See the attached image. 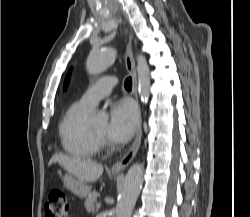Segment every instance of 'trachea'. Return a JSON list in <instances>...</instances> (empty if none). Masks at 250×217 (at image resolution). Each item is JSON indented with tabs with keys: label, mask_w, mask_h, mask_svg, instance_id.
<instances>
[{
	"label": "trachea",
	"mask_w": 250,
	"mask_h": 217,
	"mask_svg": "<svg viewBox=\"0 0 250 217\" xmlns=\"http://www.w3.org/2000/svg\"><path fill=\"white\" fill-rule=\"evenodd\" d=\"M124 87H125L126 89H129V90L132 89V78H131V77H129V78H127V79L125 80V82H124Z\"/></svg>",
	"instance_id": "3493384b"
}]
</instances>
